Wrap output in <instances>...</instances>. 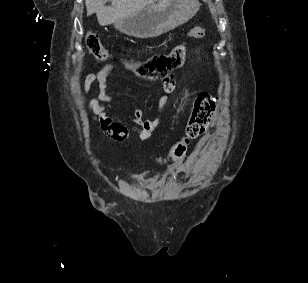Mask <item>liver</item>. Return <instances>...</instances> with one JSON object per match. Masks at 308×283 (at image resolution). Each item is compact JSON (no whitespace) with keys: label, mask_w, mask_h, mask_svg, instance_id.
<instances>
[{"label":"liver","mask_w":308,"mask_h":283,"mask_svg":"<svg viewBox=\"0 0 308 283\" xmlns=\"http://www.w3.org/2000/svg\"><path fill=\"white\" fill-rule=\"evenodd\" d=\"M111 1L110 6L105 3ZM157 0H85L87 16L96 13L98 23L110 25L126 16L134 14Z\"/></svg>","instance_id":"1"}]
</instances>
